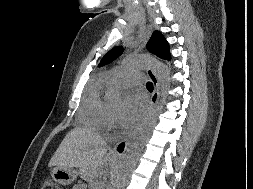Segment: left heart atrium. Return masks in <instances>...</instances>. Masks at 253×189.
<instances>
[{"instance_id":"left-heart-atrium-1","label":"left heart atrium","mask_w":253,"mask_h":189,"mask_svg":"<svg viewBox=\"0 0 253 189\" xmlns=\"http://www.w3.org/2000/svg\"><path fill=\"white\" fill-rule=\"evenodd\" d=\"M146 110L144 99L138 95H132L128 98L126 108L120 117L122 126L130 128L134 126L143 116Z\"/></svg>"}]
</instances>
